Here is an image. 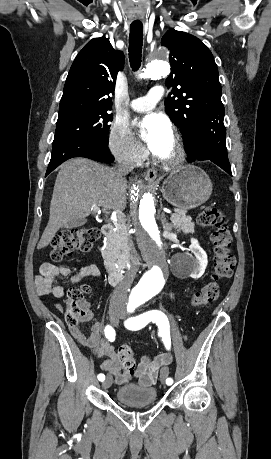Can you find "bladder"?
I'll return each mask as SVG.
<instances>
[{
    "label": "bladder",
    "instance_id": "bladder-1",
    "mask_svg": "<svg viewBox=\"0 0 271 459\" xmlns=\"http://www.w3.org/2000/svg\"><path fill=\"white\" fill-rule=\"evenodd\" d=\"M157 393L152 387H141L135 383H126L117 390L116 403L129 405H150L156 403Z\"/></svg>",
    "mask_w": 271,
    "mask_h": 459
}]
</instances>
